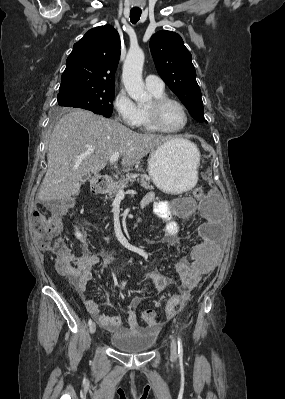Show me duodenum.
<instances>
[{"label": "duodenum", "mask_w": 285, "mask_h": 399, "mask_svg": "<svg viewBox=\"0 0 285 399\" xmlns=\"http://www.w3.org/2000/svg\"><path fill=\"white\" fill-rule=\"evenodd\" d=\"M108 184L106 182H101L99 184L93 185L91 190L94 195H102L107 191Z\"/></svg>", "instance_id": "410a0bca"}]
</instances>
